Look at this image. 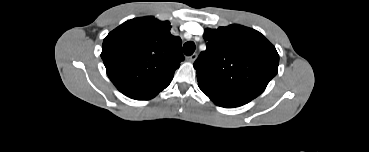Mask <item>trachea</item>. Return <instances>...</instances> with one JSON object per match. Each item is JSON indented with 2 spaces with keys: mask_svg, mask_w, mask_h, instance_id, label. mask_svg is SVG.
<instances>
[{
  "mask_svg": "<svg viewBox=\"0 0 369 152\" xmlns=\"http://www.w3.org/2000/svg\"><path fill=\"white\" fill-rule=\"evenodd\" d=\"M195 51V43L193 41H188L183 45V52L187 56H191Z\"/></svg>",
  "mask_w": 369,
  "mask_h": 152,
  "instance_id": "3493384b",
  "label": "trachea"
}]
</instances>
